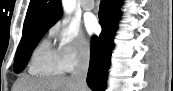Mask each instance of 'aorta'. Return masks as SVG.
Here are the masks:
<instances>
[{"instance_id": "1", "label": "aorta", "mask_w": 173, "mask_h": 91, "mask_svg": "<svg viewBox=\"0 0 173 91\" xmlns=\"http://www.w3.org/2000/svg\"><path fill=\"white\" fill-rule=\"evenodd\" d=\"M75 0H62V5L64 10L67 13H70L73 11L74 7H75Z\"/></svg>"}]
</instances>
